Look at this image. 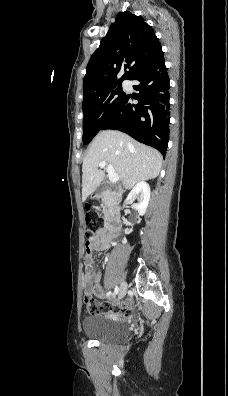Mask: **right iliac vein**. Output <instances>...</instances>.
I'll list each match as a JSON object with an SVG mask.
<instances>
[{
	"label": "right iliac vein",
	"instance_id": "63e3f726",
	"mask_svg": "<svg viewBox=\"0 0 228 396\" xmlns=\"http://www.w3.org/2000/svg\"><path fill=\"white\" fill-rule=\"evenodd\" d=\"M126 291H127V284L125 282H122L118 292L119 299L124 298V296L126 295Z\"/></svg>",
	"mask_w": 228,
	"mask_h": 396
}]
</instances>
